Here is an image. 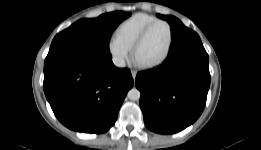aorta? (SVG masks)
<instances>
[{
  "label": "aorta",
  "mask_w": 261,
  "mask_h": 150,
  "mask_svg": "<svg viewBox=\"0 0 261 150\" xmlns=\"http://www.w3.org/2000/svg\"><path fill=\"white\" fill-rule=\"evenodd\" d=\"M127 96L130 100L137 101L140 99L141 94L137 88H132L131 90H129Z\"/></svg>",
  "instance_id": "762f6f07"
}]
</instances>
